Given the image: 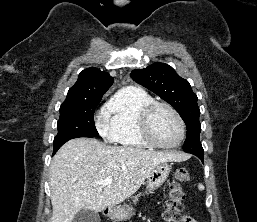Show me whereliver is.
<instances>
[{
  "instance_id": "liver-1",
  "label": "liver",
  "mask_w": 257,
  "mask_h": 222,
  "mask_svg": "<svg viewBox=\"0 0 257 222\" xmlns=\"http://www.w3.org/2000/svg\"><path fill=\"white\" fill-rule=\"evenodd\" d=\"M179 153L109 146L96 139L65 143L51 162V222H72L82 209L101 212L133 195L160 163L182 161ZM111 177L110 185L97 182Z\"/></svg>"
}]
</instances>
